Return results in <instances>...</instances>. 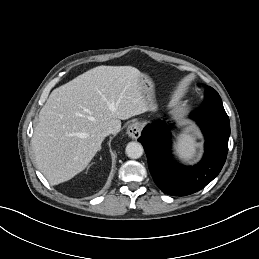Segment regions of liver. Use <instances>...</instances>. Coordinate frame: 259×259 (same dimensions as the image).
I'll use <instances>...</instances> for the list:
<instances>
[{
	"label": "liver",
	"mask_w": 259,
	"mask_h": 259,
	"mask_svg": "<svg viewBox=\"0 0 259 259\" xmlns=\"http://www.w3.org/2000/svg\"><path fill=\"white\" fill-rule=\"evenodd\" d=\"M142 73L131 66H98L54 89L39 112L32 149L51 185L83 171L101 149L102 132L147 111Z\"/></svg>",
	"instance_id": "1"
}]
</instances>
